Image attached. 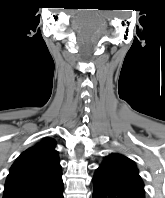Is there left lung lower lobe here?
<instances>
[{
  "instance_id": "0a47b994",
  "label": "left lung lower lobe",
  "mask_w": 165,
  "mask_h": 198,
  "mask_svg": "<svg viewBox=\"0 0 165 198\" xmlns=\"http://www.w3.org/2000/svg\"><path fill=\"white\" fill-rule=\"evenodd\" d=\"M93 198H145L144 194L126 188L100 171L93 178Z\"/></svg>"
}]
</instances>
